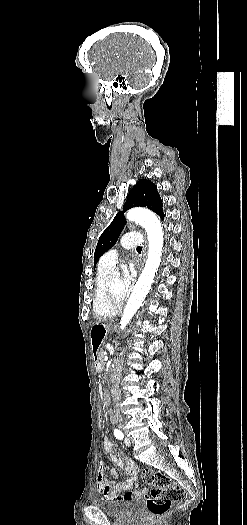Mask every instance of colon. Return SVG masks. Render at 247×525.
Masks as SVG:
<instances>
[{
    "instance_id": "1",
    "label": "colon",
    "mask_w": 247,
    "mask_h": 525,
    "mask_svg": "<svg viewBox=\"0 0 247 525\" xmlns=\"http://www.w3.org/2000/svg\"><path fill=\"white\" fill-rule=\"evenodd\" d=\"M96 424L97 430L102 432L107 421L100 417ZM141 478L145 484L156 486V489L151 491L147 497L149 513L154 519H166L172 502L183 501L186 498V491L182 487L173 485L170 478L163 472L146 469L141 472Z\"/></svg>"
}]
</instances>
